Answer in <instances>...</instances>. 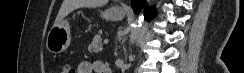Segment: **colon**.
Here are the masks:
<instances>
[{
	"label": "colon",
	"mask_w": 244,
	"mask_h": 73,
	"mask_svg": "<svg viewBox=\"0 0 244 73\" xmlns=\"http://www.w3.org/2000/svg\"><path fill=\"white\" fill-rule=\"evenodd\" d=\"M60 73H73V68L70 64H64L60 70Z\"/></svg>",
	"instance_id": "1"
}]
</instances>
